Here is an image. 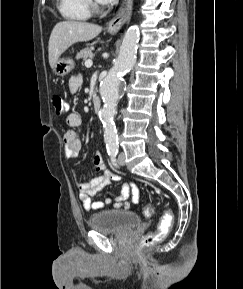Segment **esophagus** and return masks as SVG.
I'll return each instance as SVG.
<instances>
[{
    "label": "esophagus",
    "mask_w": 243,
    "mask_h": 289,
    "mask_svg": "<svg viewBox=\"0 0 243 289\" xmlns=\"http://www.w3.org/2000/svg\"><path fill=\"white\" fill-rule=\"evenodd\" d=\"M133 0H123L116 15L107 23L106 29L110 33H117L128 22L132 15Z\"/></svg>",
    "instance_id": "34e87169"
}]
</instances>
